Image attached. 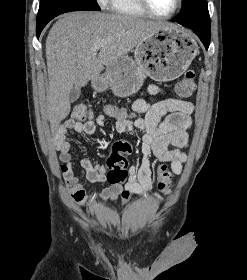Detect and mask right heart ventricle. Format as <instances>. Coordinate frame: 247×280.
<instances>
[{"label": "right heart ventricle", "mask_w": 247, "mask_h": 280, "mask_svg": "<svg viewBox=\"0 0 247 280\" xmlns=\"http://www.w3.org/2000/svg\"><path fill=\"white\" fill-rule=\"evenodd\" d=\"M110 11L115 14L124 16H145V11L141 8L138 0H108L107 2Z\"/></svg>", "instance_id": "obj_1"}]
</instances>
